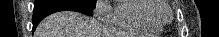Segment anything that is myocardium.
I'll use <instances>...</instances> for the list:
<instances>
[{"mask_svg": "<svg viewBox=\"0 0 219 37\" xmlns=\"http://www.w3.org/2000/svg\"><path fill=\"white\" fill-rule=\"evenodd\" d=\"M152 2H155L157 4V8L155 9H152L148 12V17L156 24L160 25V26H164L166 24H168L171 19H172V9L171 7L165 2V1H162V0H151ZM161 8H165L168 10L169 12V18L167 20H160L158 17H157V14L159 12V10Z\"/></svg>", "mask_w": 219, "mask_h": 37, "instance_id": "obj_1", "label": "myocardium"}]
</instances>
